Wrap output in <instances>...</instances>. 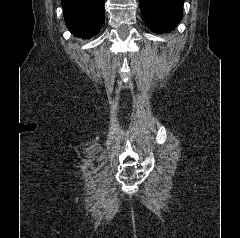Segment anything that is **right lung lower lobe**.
<instances>
[{"label": "right lung lower lobe", "instance_id": "right-lung-lower-lobe-1", "mask_svg": "<svg viewBox=\"0 0 240 238\" xmlns=\"http://www.w3.org/2000/svg\"><path fill=\"white\" fill-rule=\"evenodd\" d=\"M105 0H61L65 23L77 37L90 38L101 29Z\"/></svg>", "mask_w": 240, "mask_h": 238}]
</instances>
